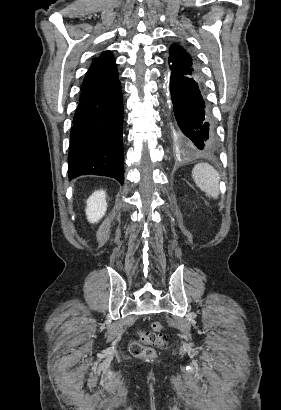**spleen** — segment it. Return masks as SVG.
<instances>
[{"instance_id":"obj_1","label":"spleen","mask_w":281,"mask_h":410,"mask_svg":"<svg viewBox=\"0 0 281 410\" xmlns=\"http://www.w3.org/2000/svg\"><path fill=\"white\" fill-rule=\"evenodd\" d=\"M192 177L203 192L218 198L220 176L214 167L208 163H198L193 168Z\"/></svg>"}]
</instances>
